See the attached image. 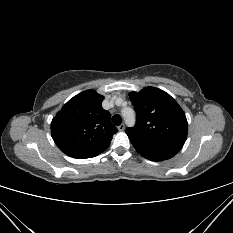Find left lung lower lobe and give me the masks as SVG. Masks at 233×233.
I'll list each match as a JSON object with an SVG mask.
<instances>
[{
  "instance_id": "left-lung-lower-lobe-1",
  "label": "left lung lower lobe",
  "mask_w": 233,
  "mask_h": 233,
  "mask_svg": "<svg viewBox=\"0 0 233 233\" xmlns=\"http://www.w3.org/2000/svg\"><path fill=\"white\" fill-rule=\"evenodd\" d=\"M145 158L149 159V160H152V161H162V160H159V159H156V158H152V157H147V156H144Z\"/></svg>"
}]
</instances>
